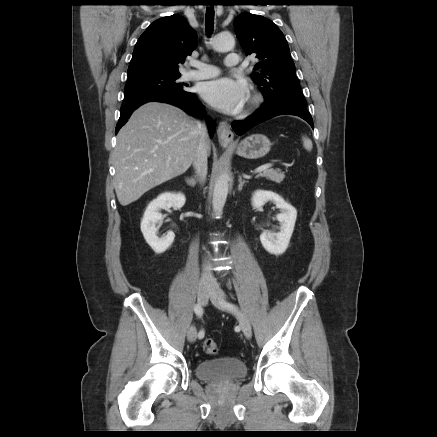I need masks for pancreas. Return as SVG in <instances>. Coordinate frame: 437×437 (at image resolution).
Segmentation results:
<instances>
[{"instance_id": "1", "label": "pancreas", "mask_w": 437, "mask_h": 437, "mask_svg": "<svg viewBox=\"0 0 437 437\" xmlns=\"http://www.w3.org/2000/svg\"><path fill=\"white\" fill-rule=\"evenodd\" d=\"M261 177H265L266 179H269L271 181H274L276 183H281L285 175L283 172L280 171V169L274 170V169H266L263 172L259 174Z\"/></svg>"}]
</instances>
